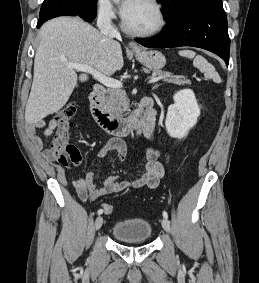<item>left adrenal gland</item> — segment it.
<instances>
[{
    "instance_id": "1",
    "label": "left adrenal gland",
    "mask_w": 259,
    "mask_h": 283,
    "mask_svg": "<svg viewBox=\"0 0 259 283\" xmlns=\"http://www.w3.org/2000/svg\"><path fill=\"white\" fill-rule=\"evenodd\" d=\"M155 88H157V85H154L152 89H155Z\"/></svg>"
}]
</instances>
